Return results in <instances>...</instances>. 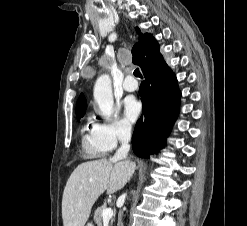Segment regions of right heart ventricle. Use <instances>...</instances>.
Returning a JSON list of instances; mask_svg holds the SVG:
<instances>
[{
	"label": "right heart ventricle",
	"instance_id": "e07e8e85",
	"mask_svg": "<svg viewBox=\"0 0 247 226\" xmlns=\"http://www.w3.org/2000/svg\"><path fill=\"white\" fill-rule=\"evenodd\" d=\"M81 149L86 158H99L108 151L97 139L95 125L87 123L81 130Z\"/></svg>",
	"mask_w": 247,
	"mask_h": 226
}]
</instances>
